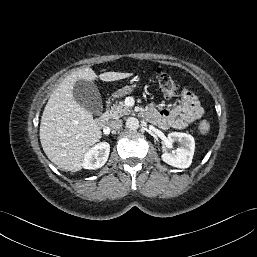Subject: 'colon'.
I'll use <instances>...</instances> for the list:
<instances>
[{
    "label": "colon",
    "mask_w": 257,
    "mask_h": 257,
    "mask_svg": "<svg viewBox=\"0 0 257 257\" xmlns=\"http://www.w3.org/2000/svg\"><path fill=\"white\" fill-rule=\"evenodd\" d=\"M155 77L157 80L159 91L166 98H173L182 94V88L163 69H157L155 71ZM209 129H210V124L208 121L204 120L200 122L199 131L201 133H207Z\"/></svg>",
    "instance_id": "colon-1"
}]
</instances>
